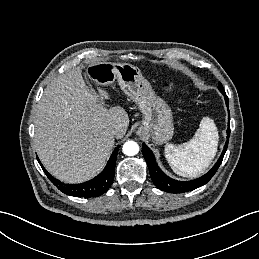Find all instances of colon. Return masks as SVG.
Returning a JSON list of instances; mask_svg holds the SVG:
<instances>
[{"instance_id": "1", "label": "colon", "mask_w": 259, "mask_h": 259, "mask_svg": "<svg viewBox=\"0 0 259 259\" xmlns=\"http://www.w3.org/2000/svg\"><path fill=\"white\" fill-rule=\"evenodd\" d=\"M165 87H166V89H168L170 91H173V90L176 89L177 86L173 81H167L165 83ZM186 94H187L186 88L182 89L181 94H180V98H184Z\"/></svg>"}]
</instances>
